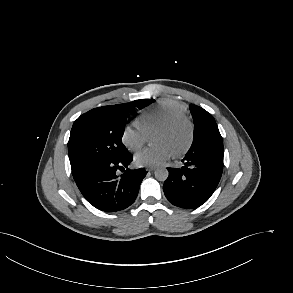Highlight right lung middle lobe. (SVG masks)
<instances>
[{
    "label": "right lung middle lobe",
    "mask_w": 293,
    "mask_h": 293,
    "mask_svg": "<svg viewBox=\"0 0 293 293\" xmlns=\"http://www.w3.org/2000/svg\"><path fill=\"white\" fill-rule=\"evenodd\" d=\"M141 101L145 100L95 108L74 122L68 141L74 178L98 163L129 153L122 143V136L128 114Z\"/></svg>",
    "instance_id": "right-lung-middle-lobe-1"
}]
</instances>
